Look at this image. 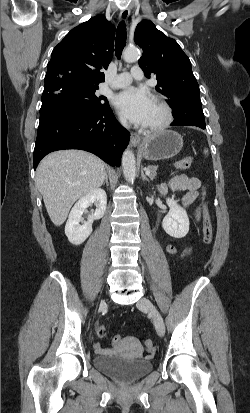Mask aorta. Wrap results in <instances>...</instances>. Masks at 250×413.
I'll return each instance as SVG.
<instances>
[{
  "instance_id": "obj_1",
  "label": "aorta",
  "mask_w": 250,
  "mask_h": 413,
  "mask_svg": "<svg viewBox=\"0 0 250 413\" xmlns=\"http://www.w3.org/2000/svg\"><path fill=\"white\" fill-rule=\"evenodd\" d=\"M140 52L136 48H127L123 53L126 62H135L139 59ZM123 173L127 182H134L136 177V162L133 152L126 149L122 156Z\"/></svg>"
}]
</instances>
